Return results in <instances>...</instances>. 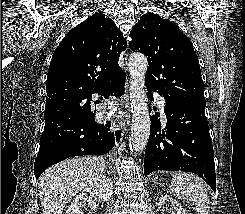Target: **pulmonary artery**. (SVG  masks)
<instances>
[{"label":"pulmonary artery","mask_w":245,"mask_h":214,"mask_svg":"<svg viewBox=\"0 0 245 214\" xmlns=\"http://www.w3.org/2000/svg\"><path fill=\"white\" fill-rule=\"evenodd\" d=\"M157 105L162 109L164 106V99L160 95L155 96Z\"/></svg>","instance_id":"obj_1"}]
</instances>
